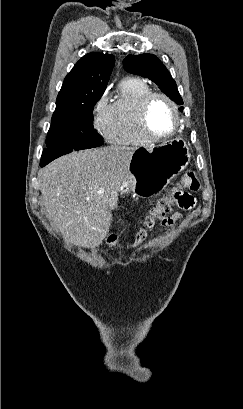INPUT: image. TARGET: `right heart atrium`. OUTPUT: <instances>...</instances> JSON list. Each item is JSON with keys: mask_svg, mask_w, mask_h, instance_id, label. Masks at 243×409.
<instances>
[{"mask_svg": "<svg viewBox=\"0 0 243 409\" xmlns=\"http://www.w3.org/2000/svg\"><path fill=\"white\" fill-rule=\"evenodd\" d=\"M110 104L107 94H103L96 102L93 110V126L102 136L107 137L110 126Z\"/></svg>", "mask_w": 243, "mask_h": 409, "instance_id": "obj_1", "label": "right heart atrium"}]
</instances>
